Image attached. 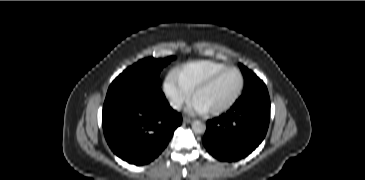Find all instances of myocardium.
I'll list each match as a JSON object with an SVG mask.
<instances>
[{"mask_svg":"<svg viewBox=\"0 0 365 180\" xmlns=\"http://www.w3.org/2000/svg\"><path fill=\"white\" fill-rule=\"evenodd\" d=\"M228 71H236L239 76H240V85L239 88L236 92V94L234 95V97L225 105L217 107L215 109H211V110H206L205 113L209 114V115H219L222 114L228 110H230L240 99L244 87H245V76L243 74V72L235 66H228L222 70H220L219 72L215 73L214 75H212L210 78H208L206 81H204L202 84H200L198 87H196L192 93H191V97L192 100L194 101L196 95L201 92L202 90L206 89L207 87H209L215 80H217L220 76H222L223 74H225Z\"/></svg>","mask_w":365,"mask_h":180,"instance_id":"f54148a6","label":"myocardium"}]
</instances>
